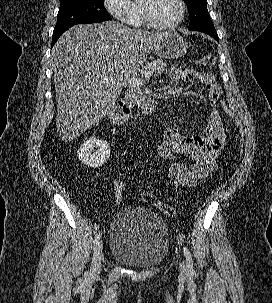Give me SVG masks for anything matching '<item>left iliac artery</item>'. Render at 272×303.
<instances>
[{"label": "left iliac artery", "instance_id": "44dca946", "mask_svg": "<svg viewBox=\"0 0 272 303\" xmlns=\"http://www.w3.org/2000/svg\"><path fill=\"white\" fill-rule=\"evenodd\" d=\"M183 252L186 258V266L188 268L189 271H193V260H192V256L190 251L188 250V248L184 245L183 246Z\"/></svg>", "mask_w": 272, "mask_h": 303}]
</instances>
